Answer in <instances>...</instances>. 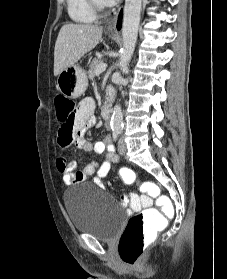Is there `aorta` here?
Segmentation results:
<instances>
[{"instance_id": "762f6f07", "label": "aorta", "mask_w": 227, "mask_h": 279, "mask_svg": "<svg viewBox=\"0 0 227 279\" xmlns=\"http://www.w3.org/2000/svg\"><path fill=\"white\" fill-rule=\"evenodd\" d=\"M142 0H125L122 40L123 48L119 59V67L122 71L128 69L129 61L133 55L140 23ZM123 126V114L120 105H115L111 117V127L115 130Z\"/></svg>"}]
</instances>
